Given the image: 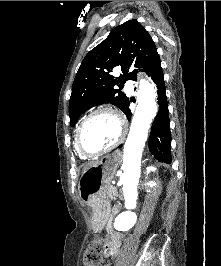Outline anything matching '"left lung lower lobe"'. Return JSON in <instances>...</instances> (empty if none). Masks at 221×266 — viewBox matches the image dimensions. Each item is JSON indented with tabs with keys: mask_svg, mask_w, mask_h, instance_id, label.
<instances>
[{
	"mask_svg": "<svg viewBox=\"0 0 221 266\" xmlns=\"http://www.w3.org/2000/svg\"><path fill=\"white\" fill-rule=\"evenodd\" d=\"M148 76L154 81L157 85V94H158V105L159 111L155 120L152 123L150 137H149V149L156 159L161 162L170 163L171 154H170V125H169V111H168V102L166 97V89L163 77V71L161 68V62H159L154 68H152L148 73ZM130 101H128L124 114L130 120L131 111L129 108ZM122 145L119 146V148Z\"/></svg>",
	"mask_w": 221,
	"mask_h": 266,
	"instance_id": "1",
	"label": "left lung lower lobe"
}]
</instances>
